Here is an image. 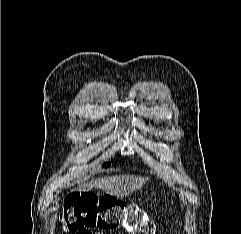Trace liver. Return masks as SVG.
<instances>
[{"label":"liver","instance_id":"6515ba94","mask_svg":"<svg viewBox=\"0 0 241 234\" xmlns=\"http://www.w3.org/2000/svg\"><path fill=\"white\" fill-rule=\"evenodd\" d=\"M147 181V178L135 175H119L104 177L90 183H85L79 187V191H89L92 188L104 190L107 194L115 197H123L141 188Z\"/></svg>","mask_w":241,"mask_h":234}]
</instances>
